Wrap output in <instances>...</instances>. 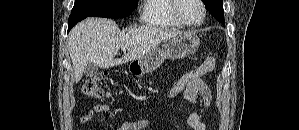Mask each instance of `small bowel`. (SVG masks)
Returning <instances> with one entry per match:
<instances>
[{
    "label": "small bowel",
    "mask_w": 299,
    "mask_h": 130,
    "mask_svg": "<svg viewBox=\"0 0 299 130\" xmlns=\"http://www.w3.org/2000/svg\"><path fill=\"white\" fill-rule=\"evenodd\" d=\"M198 95H201L205 106L209 107L212 100V94L211 90L204 81L188 87L183 92V99L188 105L193 106L197 100ZM98 113H104L107 114L108 118H113L121 114L122 110L111 109L107 104H98L81 117V123H88L92 121L95 115ZM187 123L193 130H206L207 128L206 124L201 120L200 115L195 110H191L188 112ZM148 128L161 130L158 125L151 121L126 122L120 125L115 130H142Z\"/></svg>",
    "instance_id": "small-bowel-1"
}]
</instances>
